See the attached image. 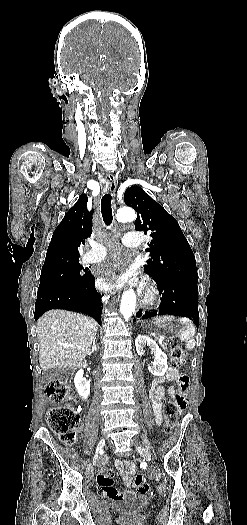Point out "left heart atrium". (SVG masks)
<instances>
[{
	"mask_svg": "<svg viewBox=\"0 0 247 525\" xmlns=\"http://www.w3.org/2000/svg\"><path fill=\"white\" fill-rule=\"evenodd\" d=\"M100 257L98 260H101ZM135 262L133 255L125 251H117L102 260V272H95L97 281L104 287L117 289L132 280V271L126 269L128 263Z\"/></svg>",
	"mask_w": 247,
	"mask_h": 525,
	"instance_id": "obj_1",
	"label": "left heart atrium"
}]
</instances>
